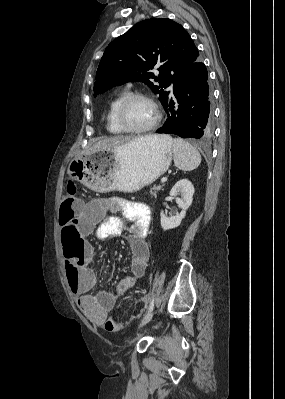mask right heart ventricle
<instances>
[{
	"label": "right heart ventricle",
	"mask_w": 285,
	"mask_h": 399,
	"mask_svg": "<svg viewBox=\"0 0 285 399\" xmlns=\"http://www.w3.org/2000/svg\"><path fill=\"white\" fill-rule=\"evenodd\" d=\"M129 95L127 90H122L117 93L109 102L108 110L106 114L107 129L112 134H124L127 133L123 130L117 121V110L122 101Z\"/></svg>",
	"instance_id": "right-heart-ventricle-1"
}]
</instances>
